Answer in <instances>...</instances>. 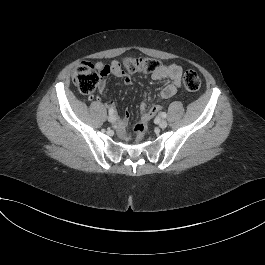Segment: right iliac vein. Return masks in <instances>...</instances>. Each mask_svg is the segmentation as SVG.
Segmentation results:
<instances>
[{"mask_svg":"<svg viewBox=\"0 0 265 265\" xmlns=\"http://www.w3.org/2000/svg\"><path fill=\"white\" fill-rule=\"evenodd\" d=\"M108 121L113 123L116 121V116L114 114H109Z\"/></svg>","mask_w":265,"mask_h":265,"instance_id":"1","label":"right iliac vein"}]
</instances>
